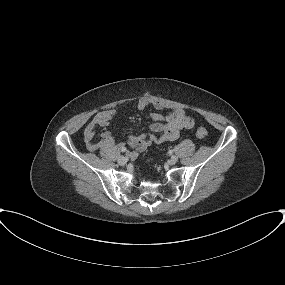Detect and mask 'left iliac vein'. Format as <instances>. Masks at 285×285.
<instances>
[{"instance_id":"1","label":"left iliac vein","mask_w":285,"mask_h":285,"mask_svg":"<svg viewBox=\"0 0 285 285\" xmlns=\"http://www.w3.org/2000/svg\"><path fill=\"white\" fill-rule=\"evenodd\" d=\"M178 161V158H177V156H172L171 157V159H170V162L172 163V164H175L176 162Z\"/></svg>"}]
</instances>
